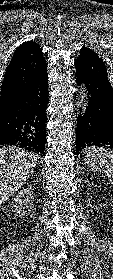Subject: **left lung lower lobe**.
<instances>
[{
    "label": "left lung lower lobe",
    "mask_w": 113,
    "mask_h": 279,
    "mask_svg": "<svg viewBox=\"0 0 113 279\" xmlns=\"http://www.w3.org/2000/svg\"><path fill=\"white\" fill-rule=\"evenodd\" d=\"M75 68L76 82L89 94L88 106L78 116L76 153L90 146L113 148V88L105 64L96 53L81 49Z\"/></svg>",
    "instance_id": "left-lung-lower-lobe-1"
}]
</instances>
